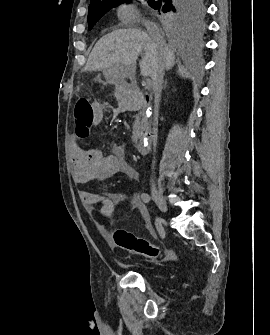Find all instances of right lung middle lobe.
Wrapping results in <instances>:
<instances>
[{
  "label": "right lung middle lobe",
  "mask_w": 270,
  "mask_h": 335,
  "mask_svg": "<svg viewBox=\"0 0 270 335\" xmlns=\"http://www.w3.org/2000/svg\"><path fill=\"white\" fill-rule=\"evenodd\" d=\"M128 0H120L115 3H106L99 6H90L88 11L89 29L99 21L111 8L118 6ZM148 0V4L156 9H162L164 13L162 17L165 22L173 27L185 30L195 29L201 25L205 10V0Z\"/></svg>",
  "instance_id": "1"
}]
</instances>
